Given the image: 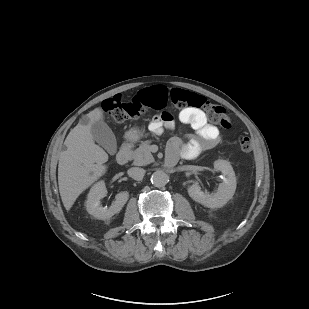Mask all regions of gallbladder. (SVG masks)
I'll return each instance as SVG.
<instances>
[{
	"label": "gallbladder",
	"mask_w": 309,
	"mask_h": 309,
	"mask_svg": "<svg viewBox=\"0 0 309 309\" xmlns=\"http://www.w3.org/2000/svg\"><path fill=\"white\" fill-rule=\"evenodd\" d=\"M93 139L108 153L114 155L117 152V142L111 128L103 120L94 122L91 126Z\"/></svg>",
	"instance_id": "bac80fb5"
}]
</instances>
